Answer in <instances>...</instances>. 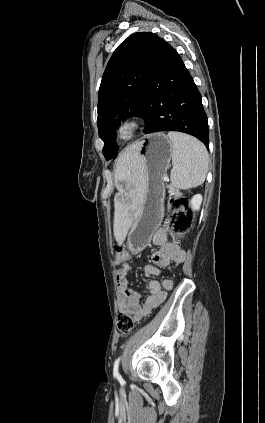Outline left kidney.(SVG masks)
<instances>
[{
    "label": "left kidney",
    "instance_id": "5707ae66",
    "mask_svg": "<svg viewBox=\"0 0 265 423\" xmlns=\"http://www.w3.org/2000/svg\"><path fill=\"white\" fill-rule=\"evenodd\" d=\"M202 196L200 194H196L192 197V199L189 202V206L192 210H199L201 203H202Z\"/></svg>",
    "mask_w": 265,
    "mask_h": 423
}]
</instances>
